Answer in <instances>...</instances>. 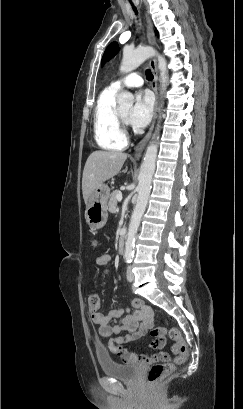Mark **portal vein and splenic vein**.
<instances>
[{
  "label": "portal vein and splenic vein",
  "mask_w": 243,
  "mask_h": 409,
  "mask_svg": "<svg viewBox=\"0 0 243 409\" xmlns=\"http://www.w3.org/2000/svg\"><path fill=\"white\" fill-rule=\"evenodd\" d=\"M117 200H118L119 202H121V200H122V194H118V195H117Z\"/></svg>",
  "instance_id": "portal-vein-and-splenic-vein-1"
}]
</instances>
